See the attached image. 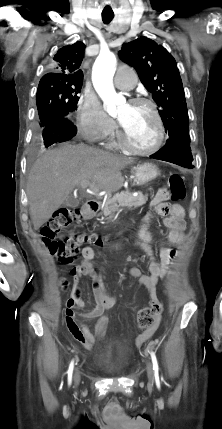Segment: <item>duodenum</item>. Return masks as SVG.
<instances>
[{"label": "duodenum", "instance_id": "duodenum-1", "mask_svg": "<svg viewBox=\"0 0 222 429\" xmlns=\"http://www.w3.org/2000/svg\"><path fill=\"white\" fill-rule=\"evenodd\" d=\"M100 209V204L96 200H88L82 209V213L85 217H90Z\"/></svg>", "mask_w": 222, "mask_h": 429}]
</instances>
